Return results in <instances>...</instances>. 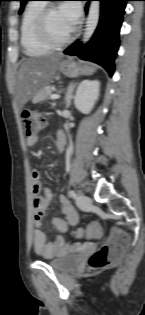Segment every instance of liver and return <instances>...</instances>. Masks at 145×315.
I'll use <instances>...</instances> for the list:
<instances>
[{
  "mask_svg": "<svg viewBox=\"0 0 145 315\" xmlns=\"http://www.w3.org/2000/svg\"><path fill=\"white\" fill-rule=\"evenodd\" d=\"M62 57V54H53L23 60L16 83L15 104L17 109H21L52 81Z\"/></svg>",
  "mask_w": 145,
  "mask_h": 315,
  "instance_id": "obj_1",
  "label": "liver"
}]
</instances>
